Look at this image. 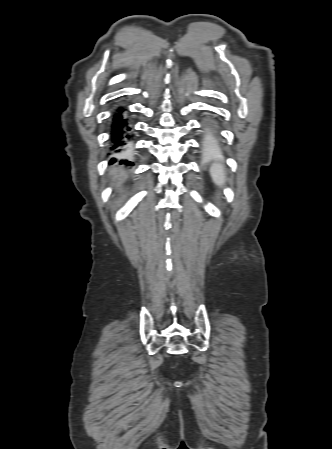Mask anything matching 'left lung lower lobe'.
<instances>
[{
	"instance_id": "0a47b994",
	"label": "left lung lower lobe",
	"mask_w": 332,
	"mask_h": 449,
	"mask_svg": "<svg viewBox=\"0 0 332 449\" xmlns=\"http://www.w3.org/2000/svg\"><path fill=\"white\" fill-rule=\"evenodd\" d=\"M204 132H205L204 140H203L204 147H206V148L217 147L218 143H219L218 142L219 134H218L216 128L212 124L208 123V124H206V126L204 128Z\"/></svg>"
}]
</instances>
